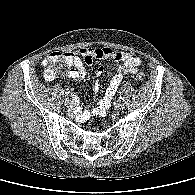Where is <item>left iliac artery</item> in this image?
<instances>
[{
	"label": "left iliac artery",
	"mask_w": 195,
	"mask_h": 195,
	"mask_svg": "<svg viewBox=\"0 0 195 195\" xmlns=\"http://www.w3.org/2000/svg\"><path fill=\"white\" fill-rule=\"evenodd\" d=\"M119 99H120V100H122V99H123V97L120 95Z\"/></svg>",
	"instance_id": "44dca946"
}]
</instances>
